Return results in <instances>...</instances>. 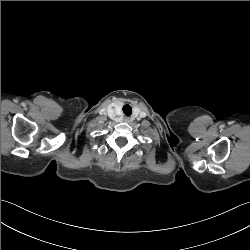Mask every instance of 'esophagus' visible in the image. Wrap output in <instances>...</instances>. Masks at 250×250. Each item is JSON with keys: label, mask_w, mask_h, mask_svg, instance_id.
I'll list each match as a JSON object with an SVG mask.
<instances>
[{"label": "esophagus", "mask_w": 250, "mask_h": 250, "mask_svg": "<svg viewBox=\"0 0 250 250\" xmlns=\"http://www.w3.org/2000/svg\"><path fill=\"white\" fill-rule=\"evenodd\" d=\"M125 122H129V119H128V118H126V119H125Z\"/></svg>", "instance_id": "esophagus-1"}]
</instances>
